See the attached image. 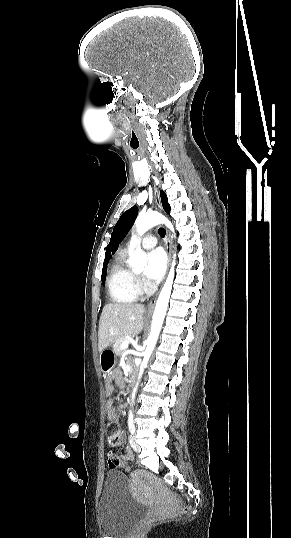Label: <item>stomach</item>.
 <instances>
[{
	"instance_id": "stomach-1",
	"label": "stomach",
	"mask_w": 291,
	"mask_h": 538,
	"mask_svg": "<svg viewBox=\"0 0 291 538\" xmlns=\"http://www.w3.org/2000/svg\"><path fill=\"white\" fill-rule=\"evenodd\" d=\"M117 354L113 347H107L100 352V367L104 374L109 373L115 366Z\"/></svg>"
}]
</instances>
